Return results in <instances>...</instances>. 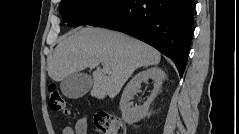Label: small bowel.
<instances>
[{"label":"small bowel","mask_w":239,"mask_h":134,"mask_svg":"<svg viewBox=\"0 0 239 134\" xmlns=\"http://www.w3.org/2000/svg\"><path fill=\"white\" fill-rule=\"evenodd\" d=\"M88 129V116L84 115L79 118L75 124V127L65 126L62 128V134H87Z\"/></svg>","instance_id":"small-bowel-1"}]
</instances>
